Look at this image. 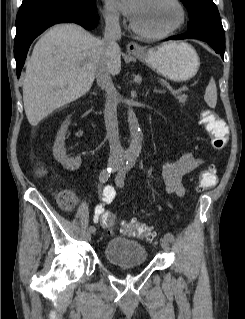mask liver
<instances>
[{
	"label": "liver",
	"instance_id": "6515ba94",
	"mask_svg": "<svg viewBox=\"0 0 245 319\" xmlns=\"http://www.w3.org/2000/svg\"><path fill=\"white\" fill-rule=\"evenodd\" d=\"M105 59L101 40L74 23L49 29L35 44L23 83L24 109L36 126L55 109L85 95ZM109 72L121 71V54L108 62Z\"/></svg>",
	"mask_w": 245,
	"mask_h": 319
}]
</instances>
